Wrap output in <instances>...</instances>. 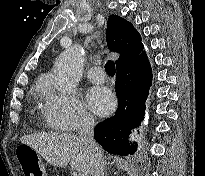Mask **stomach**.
Returning <instances> with one entry per match:
<instances>
[{
    "label": "stomach",
    "mask_w": 205,
    "mask_h": 176,
    "mask_svg": "<svg viewBox=\"0 0 205 176\" xmlns=\"http://www.w3.org/2000/svg\"><path fill=\"white\" fill-rule=\"evenodd\" d=\"M23 145H25V146H23L22 149L35 152V150L32 149L30 146H28L26 144H23Z\"/></svg>",
    "instance_id": "obj_1"
}]
</instances>
